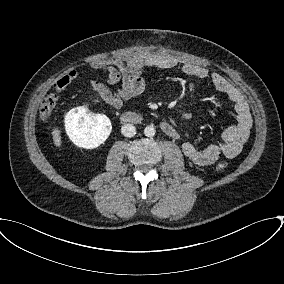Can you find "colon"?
<instances>
[{"label":"colon","instance_id":"colon-1","mask_svg":"<svg viewBox=\"0 0 284 284\" xmlns=\"http://www.w3.org/2000/svg\"><path fill=\"white\" fill-rule=\"evenodd\" d=\"M58 96L55 93L49 94L41 102L39 114L43 121H48L52 115V112L57 104ZM227 168L226 162H220L217 164V169L222 171Z\"/></svg>","mask_w":284,"mask_h":284}]
</instances>
